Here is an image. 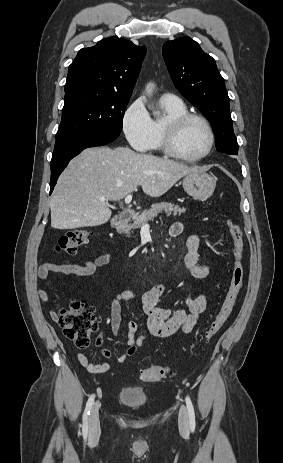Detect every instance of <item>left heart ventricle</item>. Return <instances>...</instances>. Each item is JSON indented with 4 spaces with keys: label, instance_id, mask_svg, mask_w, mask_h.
<instances>
[{
    "label": "left heart ventricle",
    "instance_id": "left-heart-ventricle-1",
    "mask_svg": "<svg viewBox=\"0 0 283 463\" xmlns=\"http://www.w3.org/2000/svg\"><path fill=\"white\" fill-rule=\"evenodd\" d=\"M209 144L206 127L199 120H190L180 130L176 145L185 156L196 157L203 154Z\"/></svg>",
    "mask_w": 283,
    "mask_h": 463
}]
</instances>
